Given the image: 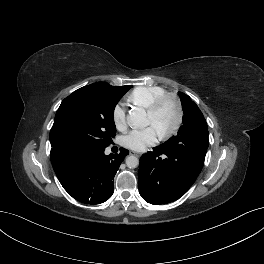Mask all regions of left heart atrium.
<instances>
[{
    "instance_id": "1",
    "label": "left heart atrium",
    "mask_w": 264,
    "mask_h": 264,
    "mask_svg": "<svg viewBox=\"0 0 264 264\" xmlns=\"http://www.w3.org/2000/svg\"><path fill=\"white\" fill-rule=\"evenodd\" d=\"M160 134L154 126H148L143 129H135L130 131L123 138V144L127 148L135 151H142L148 146L154 145Z\"/></svg>"
}]
</instances>
